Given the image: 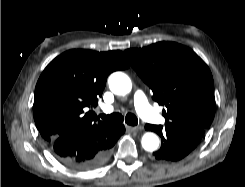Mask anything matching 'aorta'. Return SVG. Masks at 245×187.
<instances>
[{
  "label": "aorta",
  "mask_w": 245,
  "mask_h": 187,
  "mask_svg": "<svg viewBox=\"0 0 245 187\" xmlns=\"http://www.w3.org/2000/svg\"><path fill=\"white\" fill-rule=\"evenodd\" d=\"M110 90L117 95H126L132 89L130 78L122 72L112 73L108 79ZM142 147L149 152L155 151L159 146V138L154 133H145L141 140Z\"/></svg>",
  "instance_id": "762f6f07"
}]
</instances>
